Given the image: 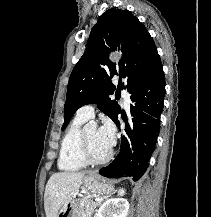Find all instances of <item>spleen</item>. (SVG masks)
Masks as SVG:
<instances>
[{
  "instance_id": "spleen-1",
  "label": "spleen",
  "mask_w": 211,
  "mask_h": 217,
  "mask_svg": "<svg viewBox=\"0 0 211 217\" xmlns=\"http://www.w3.org/2000/svg\"><path fill=\"white\" fill-rule=\"evenodd\" d=\"M118 194L123 196L125 194V190L123 188H120Z\"/></svg>"
}]
</instances>
